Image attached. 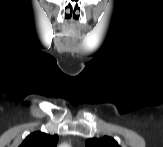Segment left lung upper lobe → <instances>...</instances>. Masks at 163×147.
I'll list each match as a JSON object with an SVG mask.
<instances>
[{"instance_id":"left-lung-upper-lobe-1","label":"left lung upper lobe","mask_w":163,"mask_h":147,"mask_svg":"<svg viewBox=\"0 0 163 147\" xmlns=\"http://www.w3.org/2000/svg\"><path fill=\"white\" fill-rule=\"evenodd\" d=\"M86 147H119V145L113 138L104 136L101 139H88L86 141Z\"/></svg>"}]
</instances>
